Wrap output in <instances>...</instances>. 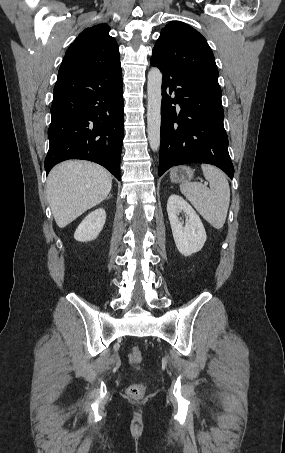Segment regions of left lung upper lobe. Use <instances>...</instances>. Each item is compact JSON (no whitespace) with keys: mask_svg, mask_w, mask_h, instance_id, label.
Listing matches in <instances>:
<instances>
[{"mask_svg":"<svg viewBox=\"0 0 285 453\" xmlns=\"http://www.w3.org/2000/svg\"><path fill=\"white\" fill-rule=\"evenodd\" d=\"M152 54L168 68L194 75L221 92L212 50L206 39L189 25L168 23L161 30Z\"/></svg>","mask_w":285,"mask_h":453,"instance_id":"1","label":"left lung upper lobe"}]
</instances>
